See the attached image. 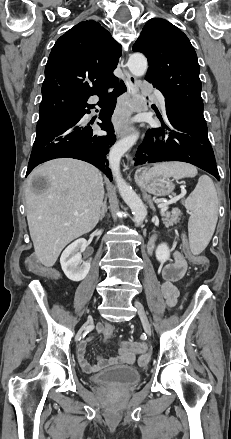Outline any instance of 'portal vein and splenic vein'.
Wrapping results in <instances>:
<instances>
[{
  "label": "portal vein and splenic vein",
  "mask_w": 231,
  "mask_h": 439,
  "mask_svg": "<svg viewBox=\"0 0 231 439\" xmlns=\"http://www.w3.org/2000/svg\"><path fill=\"white\" fill-rule=\"evenodd\" d=\"M184 195H185V192H182L178 197L181 198ZM168 204H169V202H165V203H162V204L158 205V207L160 208V212L161 213H164V212H166L168 210V206H167ZM75 214L77 215L78 213L76 212Z\"/></svg>",
  "instance_id": "obj_1"
}]
</instances>
